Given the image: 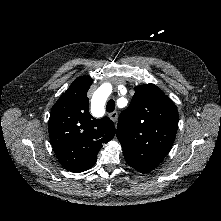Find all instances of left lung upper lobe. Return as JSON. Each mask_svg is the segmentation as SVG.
Segmentation results:
<instances>
[{
	"mask_svg": "<svg viewBox=\"0 0 221 221\" xmlns=\"http://www.w3.org/2000/svg\"><path fill=\"white\" fill-rule=\"evenodd\" d=\"M134 90L131 104L119 117L117 138L127 163L147 173L162 162L172 147L178 111L154 84L137 86Z\"/></svg>",
	"mask_w": 221,
	"mask_h": 221,
	"instance_id": "left-lung-upper-lobe-1",
	"label": "left lung upper lobe"
}]
</instances>
